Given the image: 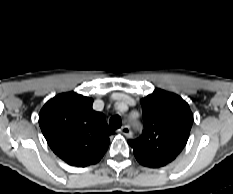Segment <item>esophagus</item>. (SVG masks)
Returning a JSON list of instances; mask_svg holds the SVG:
<instances>
[{"instance_id":"obj_1","label":"esophagus","mask_w":233,"mask_h":194,"mask_svg":"<svg viewBox=\"0 0 233 194\" xmlns=\"http://www.w3.org/2000/svg\"><path fill=\"white\" fill-rule=\"evenodd\" d=\"M119 131L123 135H125L127 138H131L132 137V131H131V129H130L129 126H123Z\"/></svg>"}]
</instances>
